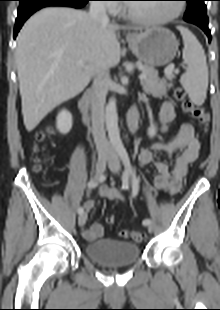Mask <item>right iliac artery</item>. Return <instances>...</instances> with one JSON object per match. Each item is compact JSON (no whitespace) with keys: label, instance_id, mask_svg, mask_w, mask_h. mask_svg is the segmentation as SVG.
Listing matches in <instances>:
<instances>
[{"label":"right iliac artery","instance_id":"82829eb1","mask_svg":"<svg viewBox=\"0 0 220 310\" xmlns=\"http://www.w3.org/2000/svg\"><path fill=\"white\" fill-rule=\"evenodd\" d=\"M97 184H98L97 181H95L94 179H91L88 182L87 186H88V188L92 189V188H95L97 186ZM77 211H78V214H82L84 210L82 207H79Z\"/></svg>","mask_w":220,"mask_h":310}]
</instances>
